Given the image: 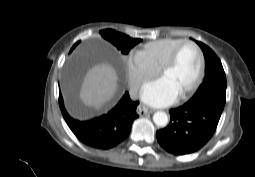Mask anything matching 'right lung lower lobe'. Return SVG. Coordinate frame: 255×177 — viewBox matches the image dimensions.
I'll return each instance as SVG.
<instances>
[{
    "mask_svg": "<svg viewBox=\"0 0 255 177\" xmlns=\"http://www.w3.org/2000/svg\"><path fill=\"white\" fill-rule=\"evenodd\" d=\"M138 104V101H132L129 94L125 93L119 103L106 115L79 121L67 113L62 95L59 94L62 115L74 135L85 145L103 150L117 146L128 137L132 123L138 117L136 113Z\"/></svg>",
    "mask_w": 255,
    "mask_h": 177,
    "instance_id": "obj_1",
    "label": "right lung lower lobe"
}]
</instances>
